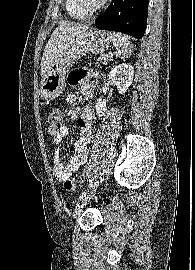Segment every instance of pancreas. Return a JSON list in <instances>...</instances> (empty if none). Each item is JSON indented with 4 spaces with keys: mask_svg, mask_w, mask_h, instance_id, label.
<instances>
[{
    "mask_svg": "<svg viewBox=\"0 0 195 270\" xmlns=\"http://www.w3.org/2000/svg\"><path fill=\"white\" fill-rule=\"evenodd\" d=\"M98 61L100 63L106 64L111 61V58H109L108 55L103 54L102 56L98 57Z\"/></svg>",
    "mask_w": 195,
    "mask_h": 270,
    "instance_id": "obj_1",
    "label": "pancreas"
}]
</instances>
